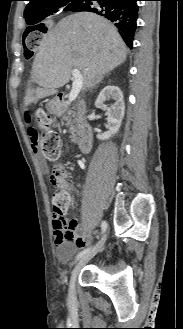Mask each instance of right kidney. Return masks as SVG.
<instances>
[{"mask_svg":"<svg viewBox=\"0 0 183 329\" xmlns=\"http://www.w3.org/2000/svg\"><path fill=\"white\" fill-rule=\"evenodd\" d=\"M108 100H114L115 102L108 107L104 104V102ZM95 106L106 112L109 129L106 133L98 134L97 138L99 140H107L119 131L124 118L125 103L122 91L119 87L114 85L104 87L95 101Z\"/></svg>","mask_w":183,"mask_h":329,"instance_id":"right-kidney-1","label":"right kidney"}]
</instances>
